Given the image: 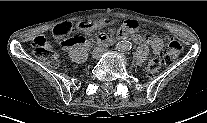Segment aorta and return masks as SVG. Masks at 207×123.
<instances>
[{
    "label": "aorta",
    "instance_id": "1",
    "mask_svg": "<svg viewBox=\"0 0 207 123\" xmlns=\"http://www.w3.org/2000/svg\"><path fill=\"white\" fill-rule=\"evenodd\" d=\"M117 48L120 51H128L129 49H131V42L121 41L117 44Z\"/></svg>",
    "mask_w": 207,
    "mask_h": 123
}]
</instances>
